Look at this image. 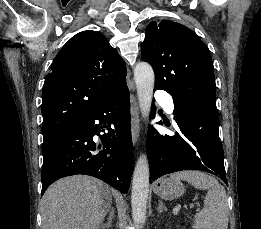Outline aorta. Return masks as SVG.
<instances>
[{
  "instance_id": "aorta-1",
  "label": "aorta",
  "mask_w": 261,
  "mask_h": 229,
  "mask_svg": "<svg viewBox=\"0 0 261 229\" xmlns=\"http://www.w3.org/2000/svg\"><path fill=\"white\" fill-rule=\"evenodd\" d=\"M134 78L143 117H149L154 88V70L148 62H137ZM149 193V165L146 155L139 157L132 181L131 209L133 223H145Z\"/></svg>"
}]
</instances>
